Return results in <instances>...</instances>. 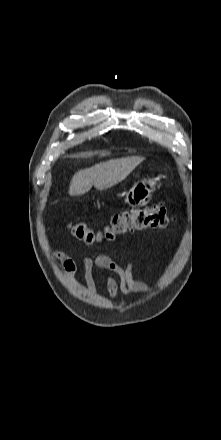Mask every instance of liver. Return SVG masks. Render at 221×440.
Returning <instances> with one entry per match:
<instances>
[{
  "mask_svg": "<svg viewBox=\"0 0 221 440\" xmlns=\"http://www.w3.org/2000/svg\"><path fill=\"white\" fill-rule=\"evenodd\" d=\"M143 160L142 157L113 159L80 170L71 179L69 195H83L92 186L100 191L111 188L123 181Z\"/></svg>",
  "mask_w": 221,
  "mask_h": 440,
  "instance_id": "1",
  "label": "liver"
}]
</instances>
